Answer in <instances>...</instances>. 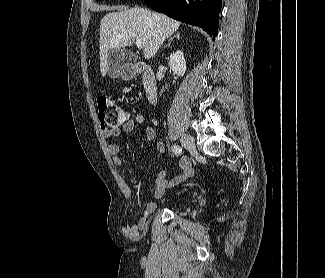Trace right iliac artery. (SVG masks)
<instances>
[{
    "mask_svg": "<svg viewBox=\"0 0 325 278\" xmlns=\"http://www.w3.org/2000/svg\"><path fill=\"white\" fill-rule=\"evenodd\" d=\"M172 151L175 153V154H182L183 153V150L180 146L178 145H173L172 146Z\"/></svg>",
    "mask_w": 325,
    "mask_h": 278,
    "instance_id": "1",
    "label": "right iliac artery"
}]
</instances>
